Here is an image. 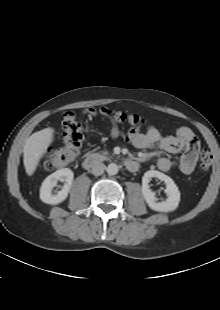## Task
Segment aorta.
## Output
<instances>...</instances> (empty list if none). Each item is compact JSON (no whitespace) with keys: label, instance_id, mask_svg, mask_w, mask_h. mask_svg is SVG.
<instances>
[{"label":"aorta","instance_id":"obj_1","mask_svg":"<svg viewBox=\"0 0 220 310\" xmlns=\"http://www.w3.org/2000/svg\"><path fill=\"white\" fill-rule=\"evenodd\" d=\"M119 167L117 164L115 163H110L107 167H106V171L109 175H116L118 173Z\"/></svg>","mask_w":220,"mask_h":310}]
</instances>
